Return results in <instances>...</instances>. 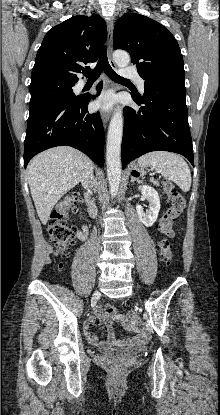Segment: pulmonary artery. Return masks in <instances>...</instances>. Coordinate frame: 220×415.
Wrapping results in <instances>:
<instances>
[{
    "mask_svg": "<svg viewBox=\"0 0 220 415\" xmlns=\"http://www.w3.org/2000/svg\"><path fill=\"white\" fill-rule=\"evenodd\" d=\"M120 74L125 78H131L134 79L141 91L144 90V80L140 77V75L130 67H125L120 69ZM85 85L84 82L80 83V87H83Z\"/></svg>",
    "mask_w": 220,
    "mask_h": 415,
    "instance_id": "pulmonary-artery-1",
    "label": "pulmonary artery"
}]
</instances>
